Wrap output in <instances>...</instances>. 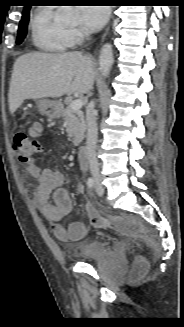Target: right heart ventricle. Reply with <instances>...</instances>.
<instances>
[{
  "instance_id": "e07e8e85",
  "label": "right heart ventricle",
  "mask_w": 184,
  "mask_h": 327,
  "mask_svg": "<svg viewBox=\"0 0 184 327\" xmlns=\"http://www.w3.org/2000/svg\"><path fill=\"white\" fill-rule=\"evenodd\" d=\"M33 44L44 51L63 52L72 46L69 30L57 23L51 7L37 9L30 21Z\"/></svg>"
}]
</instances>
